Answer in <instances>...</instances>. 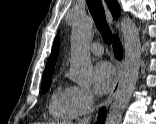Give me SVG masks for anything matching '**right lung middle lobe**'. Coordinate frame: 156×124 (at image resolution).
Returning <instances> with one entry per match:
<instances>
[{"instance_id":"obj_1","label":"right lung middle lobe","mask_w":156,"mask_h":124,"mask_svg":"<svg viewBox=\"0 0 156 124\" xmlns=\"http://www.w3.org/2000/svg\"><path fill=\"white\" fill-rule=\"evenodd\" d=\"M51 75L48 76H43V82L41 85V90L42 92H46L51 84V79H50Z\"/></svg>"}]
</instances>
